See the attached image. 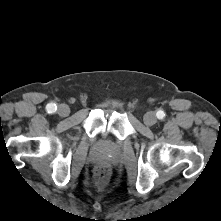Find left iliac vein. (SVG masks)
Listing matches in <instances>:
<instances>
[{"label":"left iliac vein","instance_id":"4c4485c4","mask_svg":"<svg viewBox=\"0 0 221 221\" xmlns=\"http://www.w3.org/2000/svg\"><path fill=\"white\" fill-rule=\"evenodd\" d=\"M157 121L156 115L154 112L150 111L144 115V123L147 126H153Z\"/></svg>","mask_w":221,"mask_h":221}]
</instances>
